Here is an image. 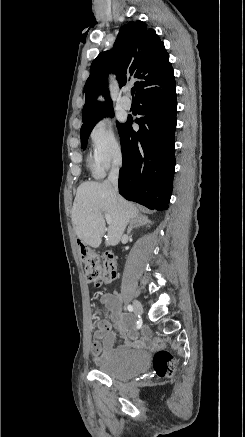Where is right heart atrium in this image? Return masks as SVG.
<instances>
[{
  "label": "right heart atrium",
  "instance_id": "obj_1",
  "mask_svg": "<svg viewBox=\"0 0 245 437\" xmlns=\"http://www.w3.org/2000/svg\"><path fill=\"white\" fill-rule=\"evenodd\" d=\"M91 166L96 176H103L122 157V146L113 128L106 120L98 121L91 129Z\"/></svg>",
  "mask_w": 245,
  "mask_h": 437
}]
</instances>
